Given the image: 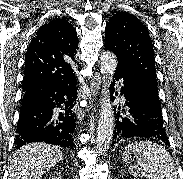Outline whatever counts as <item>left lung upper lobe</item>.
I'll return each instance as SVG.
<instances>
[{
	"instance_id": "left-lung-upper-lobe-1",
	"label": "left lung upper lobe",
	"mask_w": 183,
	"mask_h": 179,
	"mask_svg": "<svg viewBox=\"0 0 183 179\" xmlns=\"http://www.w3.org/2000/svg\"><path fill=\"white\" fill-rule=\"evenodd\" d=\"M105 49L116 54V71L122 70L131 77L148 103L161 112L153 45L143 23L132 14L115 13L106 24Z\"/></svg>"
}]
</instances>
